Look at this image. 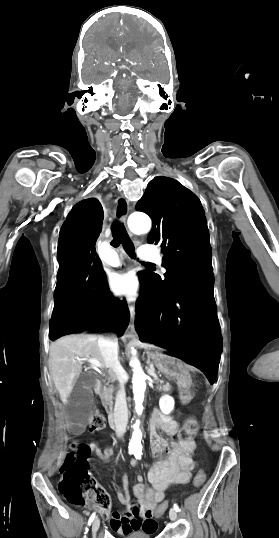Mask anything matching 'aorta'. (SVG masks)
<instances>
[{
  "label": "aorta",
  "instance_id": "obj_1",
  "mask_svg": "<svg viewBox=\"0 0 279 538\" xmlns=\"http://www.w3.org/2000/svg\"><path fill=\"white\" fill-rule=\"evenodd\" d=\"M128 226L130 230L135 234H143L147 233L151 229V220L150 218L142 213H133L128 218ZM131 365L133 366V378H132V384H133V394H134V401L136 404V412L138 415H140L143 411V400H144V393L146 390V375L140 365V362L137 359H134L131 362ZM140 422L137 421L136 424L133 426L134 431L132 433V438L129 442V448L130 449H141V439H142V433L139 429Z\"/></svg>",
  "mask_w": 279,
  "mask_h": 538
}]
</instances>
